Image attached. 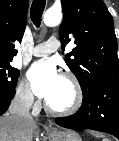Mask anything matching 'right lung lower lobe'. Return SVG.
<instances>
[{
    "label": "right lung lower lobe",
    "instance_id": "1",
    "mask_svg": "<svg viewBox=\"0 0 119 141\" xmlns=\"http://www.w3.org/2000/svg\"><path fill=\"white\" fill-rule=\"evenodd\" d=\"M15 91L11 95L0 93V115L4 114L10 105L11 100L13 99Z\"/></svg>",
    "mask_w": 119,
    "mask_h": 141
}]
</instances>
